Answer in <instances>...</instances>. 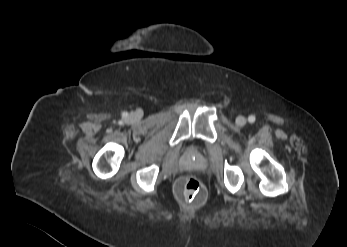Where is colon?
<instances>
[{
  "instance_id": "1",
  "label": "colon",
  "mask_w": 347,
  "mask_h": 247,
  "mask_svg": "<svg viewBox=\"0 0 347 247\" xmlns=\"http://www.w3.org/2000/svg\"><path fill=\"white\" fill-rule=\"evenodd\" d=\"M175 188L179 200L185 204L202 205L206 199L205 186L194 176H182Z\"/></svg>"
}]
</instances>
